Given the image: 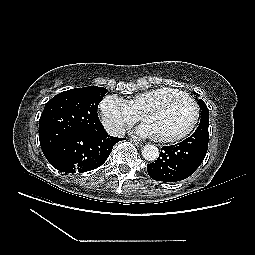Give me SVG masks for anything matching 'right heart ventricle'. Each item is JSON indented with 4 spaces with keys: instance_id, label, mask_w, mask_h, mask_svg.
<instances>
[{
    "instance_id": "obj_1",
    "label": "right heart ventricle",
    "mask_w": 255,
    "mask_h": 255,
    "mask_svg": "<svg viewBox=\"0 0 255 255\" xmlns=\"http://www.w3.org/2000/svg\"><path fill=\"white\" fill-rule=\"evenodd\" d=\"M178 89L170 88V87H156L152 89H148L146 91H143L137 95H135L133 98L126 100L131 108L136 112L139 116L141 112L151 103H153L155 100H157L159 97L170 93L172 91H175Z\"/></svg>"
}]
</instances>
